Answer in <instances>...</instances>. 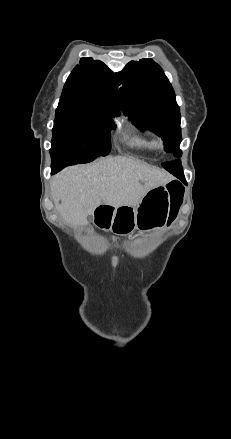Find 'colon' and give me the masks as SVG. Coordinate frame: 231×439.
<instances>
[{"label": "colon", "instance_id": "1", "mask_svg": "<svg viewBox=\"0 0 231 439\" xmlns=\"http://www.w3.org/2000/svg\"><path fill=\"white\" fill-rule=\"evenodd\" d=\"M167 190L171 200L174 202L175 205H178L183 197V187L176 182H171L167 185Z\"/></svg>", "mask_w": 231, "mask_h": 439}]
</instances>
